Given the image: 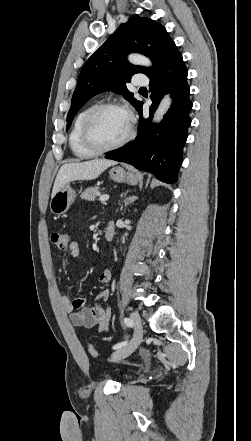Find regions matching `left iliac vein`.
Returning <instances> with one entry per match:
<instances>
[{"mask_svg":"<svg viewBox=\"0 0 251 441\" xmlns=\"http://www.w3.org/2000/svg\"><path fill=\"white\" fill-rule=\"evenodd\" d=\"M130 318H131V321H132L134 329H135L134 336L128 344L119 348L118 350H116L112 354V356H111L112 361H119L121 359L126 358L130 354H132L142 341L143 326H142L140 316L138 315L137 312H132L130 315Z\"/></svg>","mask_w":251,"mask_h":441,"instance_id":"1","label":"left iliac vein"}]
</instances>
